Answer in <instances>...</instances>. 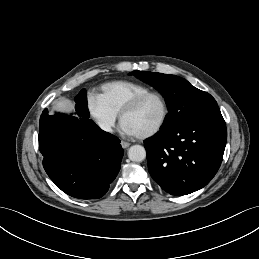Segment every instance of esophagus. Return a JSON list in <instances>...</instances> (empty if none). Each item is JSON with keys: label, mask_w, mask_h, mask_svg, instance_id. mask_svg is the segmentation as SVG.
<instances>
[{"label": "esophagus", "mask_w": 259, "mask_h": 259, "mask_svg": "<svg viewBox=\"0 0 259 259\" xmlns=\"http://www.w3.org/2000/svg\"><path fill=\"white\" fill-rule=\"evenodd\" d=\"M121 146L126 149L130 146V143H128L126 141H121Z\"/></svg>", "instance_id": "1"}]
</instances>
